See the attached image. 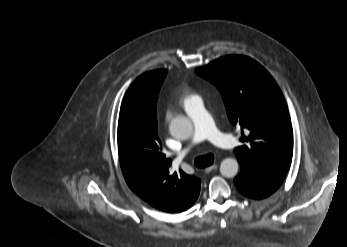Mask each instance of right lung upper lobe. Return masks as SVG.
<instances>
[{"mask_svg":"<svg viewBox=\"0 0 347 247\" xmlns=\"http://www.w3.org/2000/svg\"><path fill=\"white\" fill-rule=\"evenodd\" d=\"M155 71L139 76L123 98L118 121L119 160L133 192L156 209L179 213L194 204L201 182L181 170L169 171L171 159L162 153L156 118L164 79Z\"/></svg>","mask_w":347,"mask_h":247,"instance_id":"1","label":"right lung upper lobe"}]
</instances>
